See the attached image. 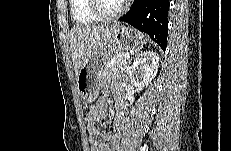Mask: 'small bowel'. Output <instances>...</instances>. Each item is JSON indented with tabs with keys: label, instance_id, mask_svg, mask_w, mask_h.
I'll return each mask as SVG.
<instances>
[{
	"label": "small bowel",
	"instance_id": "small-bowel-1",
	"mask_svg": "<svg viewBox=\"0 0 231 151\" xmlns=\"http://www.w3.org/2000/svg\"><path fill=\"white\" fill-rule=\"evenodd\" d=\"M105 87H110L105 84ZM116 99L117 116L112 123V132L100 130L97 123L103 122L107 118V103L104 99L96 101L89 109L87 114V129L89 132V142L91 151H118L119 142L121 140V131L124 121V113L126 104L122 100V92L117 88H112ZM107 142L109 145L100 141Z\"/></svg>",
	"mask_w": 231,
	"mask_h": 151
}]
</instances>
